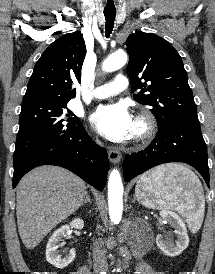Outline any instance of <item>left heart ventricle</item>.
<instances>
[{"instance_id":"left-heart-ventricle-1","label":"left heart ventricle","mask_w":215,"mask_h":274,"mask_svg":"<svg viewBox=\"0 0 215 274\" xmlns=\"http://www.w3.org/2000/svg\"><path fill=\"white\" fill-rule=\"evenodd\" d=\"M137 131V126H136V123H135V127H134V132L133 134Z\"/></svg>"}]
</instances>
